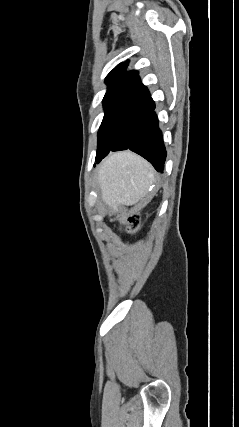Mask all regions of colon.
I'll use <instances>...</instances> for the list:
<instances>
[{"instance_id":"1","label":"colon","mask_w":239,"mask_h":427,"mask_svg":"<svg viewBox=\"0 0 239 427\" xmlns=\"http://www.w3.org/2000/svg\"><path fill=\"white\" fill-rule=\"evenodd\" d=\"M139 224H140V216L135 214V215L130 216L127 219L126 228L128 231L134 232L137 230Z\"/></svg>"}]
</instances>
